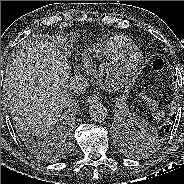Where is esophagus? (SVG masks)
Wrapping results in <instances>:
<instances>
[{"mask_svg": "<svg viewBox=\"0 0 184 184\" xmlns=\"http://www.w3.org/2000/svg\"><path fill=\"white\" fill-rule=\"evenodd\" d=\"M100 100V98L97 95H93L87 99L88 104L96 103Z\"/></svg>", "mask_w": 184, "mask_h": 184, "instance_id": "34e87169", "label": "esophagus"}]
</instances>
